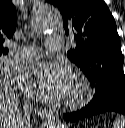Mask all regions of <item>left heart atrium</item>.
<instances>
[{"label": "left heart atrium", "mask_w": 125, "mask_h": 128, "mask_svg": "<svg viewBox=\"0 0 125 128\" xmlns=\"http://www.w3.org/2000/svg\"><path fill=\"white\" fill-rule=\"evenodd\" d=\"M22 90L39 101H57L71 92V74L67 66L41 62L24 68L19 75Z\"/></svg>", "instance_id": "1"}]
</instances>
